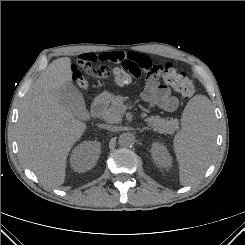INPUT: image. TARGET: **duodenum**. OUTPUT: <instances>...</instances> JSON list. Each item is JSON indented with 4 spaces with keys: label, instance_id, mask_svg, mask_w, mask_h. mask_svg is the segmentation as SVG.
Here are the masks:
<instances>
[{
    "label": "duodenum",
    "instance_id": "410a0bca",
    "mask_svg": "<svg viewBox=\"0 0 245 245\" xmlns=\"http://www.w3.org/2000/svg\"><path fill=\"white\" fill-rule=\"evenodd\" d=\"M107 105V98L104 96L97 97L92 106H91V114L94 117H100Z\"/></svg>",
    "mask_w": 245,
    "mask_h": 245
}]
</instances>
